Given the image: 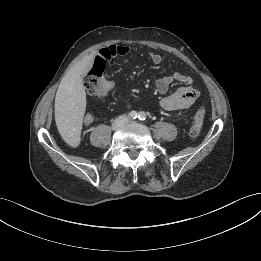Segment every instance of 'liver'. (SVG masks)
I'll list each match as a JSON object with an SVG mask.
<instances>
[{
	"label": "liver",
	"instance_id": "6515ba94",
	"mask_svg": "<svg viewBox=\"0 0 261 261\" xmlns=\"http://www.w3.org/2000/svg\"><path fill=\"white\" fill-rule=\"evenodd\" d=\"M94 55H88L73 65L63 77L55 96V121L62 136L80 130L86 109V92L82 75L93 65Z\"/></svg>",
	"mask_w": 261,
	"mask_h": 261
}]
</instances>
